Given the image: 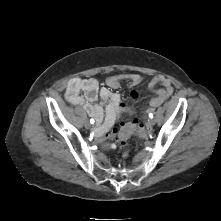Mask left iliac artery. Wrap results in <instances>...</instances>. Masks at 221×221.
Segmentation results:
<instances>
[{
    "label": "left iliac artery",
    "instance_id": "1",
    "mask_svg": "<svg viewBox=\"0 0 221 221\" xmlns=\"http://www.w3.org/2000/svg\"><path fill=\"white\" fill-rule=\"evenodd\" d=\"M149 117H150V118H153V114H152V113H150V114H149Z\"/></svg>",
    "mask_w": 221,
    "mask_h": 221
}]
</instances>
